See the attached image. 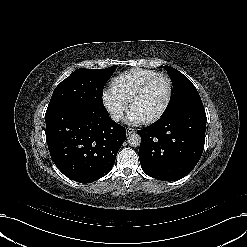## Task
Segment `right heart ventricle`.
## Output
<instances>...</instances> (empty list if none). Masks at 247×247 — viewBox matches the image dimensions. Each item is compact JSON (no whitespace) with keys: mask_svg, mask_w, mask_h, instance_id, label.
Returning <instances> with one entry per match:
<instances>
[{"mask_svg":"<svg viewBox=\"0 0 247 247\" xmlns=\"http://www.w3.org/2000/svg\"><path fill=\"white\" fill-rule=\"evenodd\" d=\"M157 74V71L150 69H131L114 80L112 91L121 101L127 103L144 82Z\"/></svg>","mask_w":247,"mask_h":247,"instance_id":"obj_1","label":"right heart ventricle"}]
</instances>
